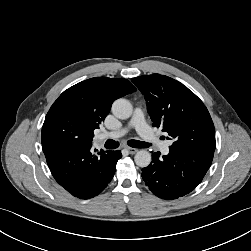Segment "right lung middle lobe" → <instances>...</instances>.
<instances>
[{"instance_id":"1","label":"right lung middle lobe","mask_w":251,"mask_h":251,"mask_svg":"<svg viewBox=\"0 0 251 251\" xmlns=\"http://www.w3.org/2000/svg\"><path fill=\"white\" fill-rule=\"evenodd\" d=\"M91 144L90 138L81 125L63 115L46 116L42 127V145H71L76 147Z\"/></svg>"}]
</instances>
